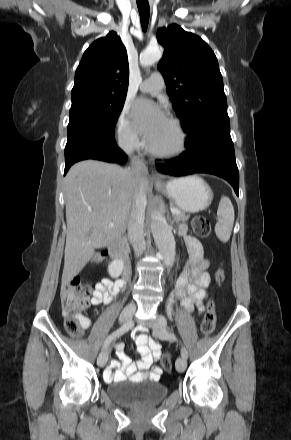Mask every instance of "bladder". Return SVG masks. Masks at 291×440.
Listing matches in <instances>:
<instances>
[{
	"label": "bladder",
	"instance_id": "obj_1",
	"mask_svg": "<svg viewBox=\"0 0 291 440\" xmlns=\"http://www.w3.org/2000/svg\"><path fill=\"white\" fill-rule=\"evenodd\" d=\"M108 395L124 406L149 405L161 402L167 395L165 385L153 381L121 380L107 387Z\"/></svg>",
	"mask_w": 291,
	"mask_h": 440
}]
</instances>
